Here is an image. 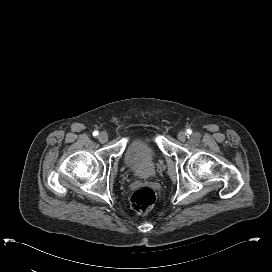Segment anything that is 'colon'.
<instances>
[{"label":"colon","instance_id":"5ec220e1","mask_svg":"<svg viewBox=\"0 0 272 272\" xmlns=\"http://www.w3.org/2000/svg\"><path fill=\"white\" fill-rule=\"evenodd\" d=\"M156 201V194L150 188H140L131 196V204L136 213L144 215L148 213Z\"/></svg>","mask_w":272,"mask_h":272}]
</instances>
